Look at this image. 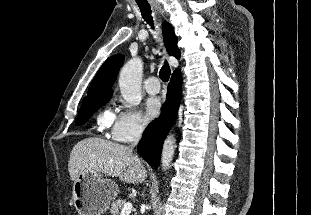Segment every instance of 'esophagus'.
I'll use <instances>...</instances> for the list:
<instances>
[{"instance_id": "1", "label": "esophagus", "mask_w": 311, "mask_h": 215, "mask_svg": "<svg viewBox=\"0 0 311 215\" xmlns=\"http://www.w3.org/2000/svg\"><path fill=\"white\" fill-rule=\"evenodd\" d=\"M157 9L159 10V12H160V13H162V11H161V8H160V7H157Z\"/></svg>"}]
</instances>
